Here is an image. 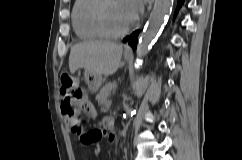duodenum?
I'll list each match as a JSON object with an SVG mask.
<instances>
[{"label":"duodenum","mask_w":242,"mask_h":160,"mask_svg":"<svg viewBox=\"0 0 242 160\" xmlns=\"http://www.w3.org/2000/svg\"><path fill=\"white\" fill-rule=\"evenodd\" d=\"M104 127L108 130H111L115 127V120L111 117H107L103 121Z\"/></svg>","instance_id":"obj_1"}]
</instances>
